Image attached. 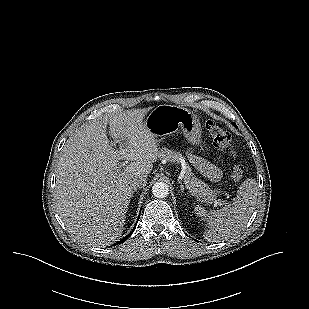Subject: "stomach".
<instances>
[{
    "mask_svg": "<svg viewBox=\"0 0 309 309\" xmlns=\"http://www.w3.org/2000/svg\"><path fill=\"white\" fill-rule=\"evenodd\" d=\"M144 125L155 138H164L181 130L191 145L199 146L201 143L200 122L193 112L184 107L159 105L149 113Z\"/></svg>",
    "mask_w": 309,
    "mask_h": 309,
    "instance_id": "1",
    "label": "stomach"
}]
</instances>
